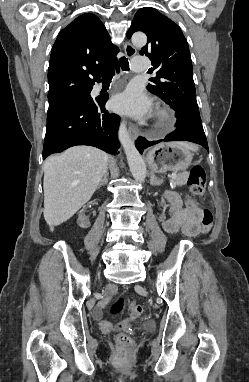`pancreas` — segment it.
Masks as SVG:
<instances>
[{
	"mask_svg": "<svg viewBox=\"0 0 249 382\" xmlns=\"http://www.w3.org/2000/svg\"><path fill=\"white\" fill-rule=\"evenodd\" d=\"M187 175L186 174H180L177 175L176 179H174L173 184L174 186H183L187 182Z\"/></svg>",
	"mask_w": 249,
	"mask_h": 382,
	"instance_id": "1",
	"label": "pancreas"
}]
</instances>
